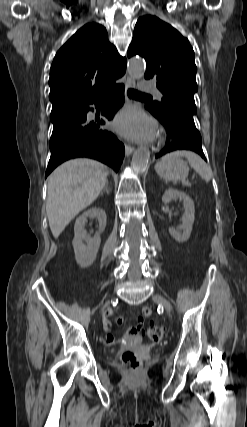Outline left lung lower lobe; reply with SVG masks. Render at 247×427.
<instances>
[{"label":"left lung lower lobe","instance_id":"left-lung-lower-lobe-1","mask_svg":"<svg viewBox=\"0 0 247 427\" xmlns=\"http://www.w3.org/2000/svg\"><path fill=\"white\" fill-rule=\"evenodd\" d=\"M145 107L167 128V142L156 157L177 150H190L206 160L202 150L201 135L195 126L193 116L177 110L157 116L148 106L145 105Z\"/></svg>","mask_w":247,"mask_h":427}]
</instances>
